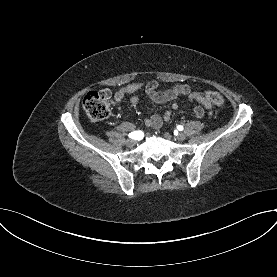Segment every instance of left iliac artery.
I'll use <instances>...</instances> for the list:
<instances>
[{"label":"left iliac artery","mask_w":277,"mask_h":277,"mask_svg":"<svg viewBox=\"0 0 277 277\" xmlns=\"http://www.w3.org/2000/svg\"><path fill=\"white\" fill-rule=\"evenodd\" d=\"M177 129H178L179 131H182V130H183V126L179 125V126H177Z\"/></svg>","instance_id":"1"}]
</instances>
